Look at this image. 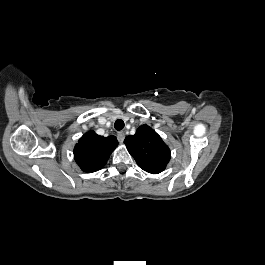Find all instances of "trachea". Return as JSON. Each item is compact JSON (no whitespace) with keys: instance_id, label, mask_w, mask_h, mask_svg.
I'll return each mask as SVG.
<instances>
[{"instance_id":"1","label":"trachea","mask_w":265,"mask_h":265,"mask_svg":"<svg viewBox=\"0 0 265 265\" xmlns=\"http://www.w3.org/2000/svg\"><path fill=\"white\" fill-rule=\"evenodd\" d=\"M124 122H123V120H121V119H118V120H116V122H115V129L116 130H122L123 128H124Z\"/></svg>"}]
</instances>
